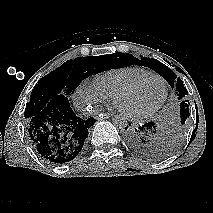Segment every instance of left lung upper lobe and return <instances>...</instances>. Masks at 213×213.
Instances as JSON below:
<instances>
[{"label": "left lung upper lobe", "mask_w": 213, "mask_h": 213, "mask_svg": "<svg viewBox=\"0 0 213 213\" xmlns=\"http://www.w3.org/2000/svg\"><path fill=\"white\" fill-rule=\"evenodd\" d=\"M125 62L123 66L139 65L153 69L160 74L176 92V97L180 101V123L174 131L165 132L158 145V154L160 158L165 157L178 148L181 143L182 129L187 124L189 118V101L185 99L188 94L182 80L177 78L176 74L166 65L156 59L141 57L137 59L130 54L121 55Z\"/></svg>", "instance_id": "obj_1"}]
</instances>
